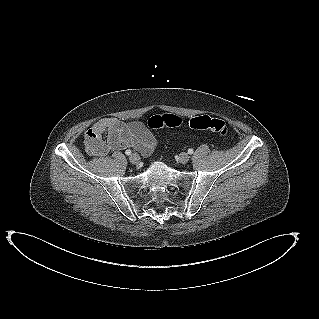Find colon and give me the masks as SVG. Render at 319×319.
Returning a JSON list of instances; mask_svg holds the SVG:
<instances>
[{"instance_id": "colon-1", "label": "colon", "mask_w": 319, "mask_h": 319, "mask_svg": "<svg viewBox=\"0 0 319 319\" xmlns=\"http://www.w3.org/2000/svg\"><path fill=\"white\" fill-rule=\"evenodd\" d=\"M182 124V119L174 114H160L150 117L147 125L150 129L158 130L162 128L178 127ZM189 126L193 129L209 130L221 136H227L228 127L221 119L200 115L189 120Z\"/></svg>"}]
</instances>
